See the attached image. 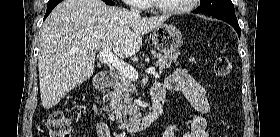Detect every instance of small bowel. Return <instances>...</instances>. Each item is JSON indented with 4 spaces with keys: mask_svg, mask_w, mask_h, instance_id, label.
Returning a JSON list of instances; mask_svg holds the SVG:
<instances>
[{
    "mask_svg": "<svg viewBox=\"0 0 280 137\" xmlns=\"http://www.w3.org/2000/svg\"><path fill=\"white\" fill-rule=\"evenodd\" d=\"M164 90L182 93L194 106L196 113L190 115L187 123H175L169 126L161 137H209L210 124L202 117L210 112V103L207 90L195 80L184 68H177L167 77ZM104 126L101 127L98 137H103Z\"/></svg>",
    "mask_w": 280,
    "mask_h": 137,
    "instance_id": "1",
    "label": "small bowel"
}]
</instances>
